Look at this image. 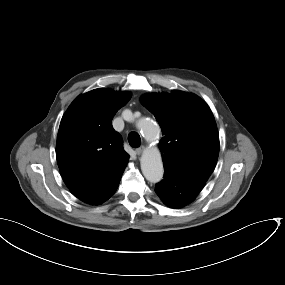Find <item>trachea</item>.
I'll return each instance as SVG.
<instances>
[{
    "mask_svg": "<svg viewBox=\"0 0 285 285\" xmlns=\"http://www.w3.org/2000/svg\"><path fill=\"white\" fill-rule=\"evenodd\" d=\"M128 142L130 144L131 147H134V148H137L140 146L141 144V138L139 136L138 133L136 132H131L129 135H128Z\"/></svg>",
    "mask_w": 285,
    "mask_h": 285,
    "instance_id": "obj_1",
    "label": "trachea"
}]
</instances>
